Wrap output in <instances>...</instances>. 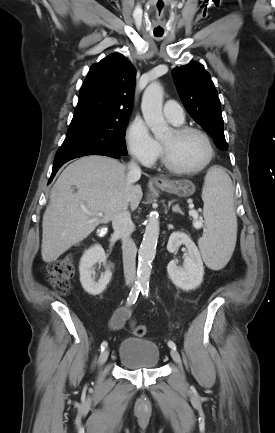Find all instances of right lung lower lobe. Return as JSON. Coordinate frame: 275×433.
<instances>
[{
  "instance_id": "right-lung-lower-lobe-1",
  "label": "right lung lower lobe",
  "mask_w": 275,
  "mask_h": 433,
  "mask_svg": "<svg viewBox=\"0 0 275 433\" xmlns=\"http://www.w3.org/2000/svg\"><path fill=\"white\" fill-rule=\"evenodd\" d=\"M86 155H104V156H109V157H113V158H120V156H121L120 154H117V153L111 152V151H95V152L79 154V155H70V156H65V157L55 159L49 183L52 181L56 172L60 169V167L63 164H65L66 162H68L74 158H78V157H82V156H86Z\"/></svg>"
}]
</instances>
